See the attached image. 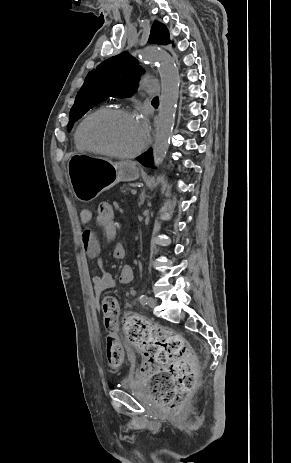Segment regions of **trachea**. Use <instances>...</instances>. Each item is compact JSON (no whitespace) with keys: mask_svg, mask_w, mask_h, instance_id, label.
<instances>
[{"mask_svg":"<svg viewBox=\"0 0 291 463\" xmlns=\"http://www.w3.org/2000/svg\"><path fill=\"white\" fill-rule=\"evenodd\" d=\"M152 101H159V99H158V98H154Z\"/></svg>","mask_w":291,"mask_h":463,"instance_id":"obj_1","label":"trachea"}]
</instances>
